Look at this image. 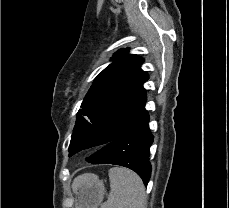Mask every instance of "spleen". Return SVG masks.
Listing matches in <instances>:
<instances>
[{
  "label": "spleen",
  "instance_id": "spleen-1",
  "mask_svg": "<svg viewBox=\"0 0 229 208\" xmlns=\"http://www.w3.org/2000/svg\"><path fill=\"white\" fill-rule=\"evenodd\" d=\"M111 192L102 208H145L144 184L127 168H111L109 170Z\"/></svg>",
  "mask_w": 229,
  "mask_h": 208
}]
</instances>
